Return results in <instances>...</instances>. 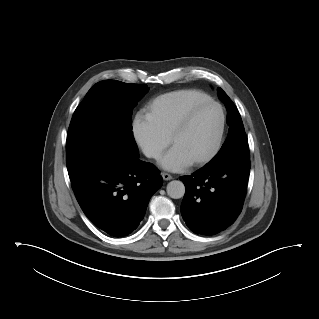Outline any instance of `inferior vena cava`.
<instances>
[{
    "label": "inferior vena cava",
    "instance_id": "1",
    "mask_svg": "<svg viewBox=\"0 0 319 319\" xmlns=\"http://www.w3.org/2000/svg\"><path fill=\"white\" fill-rule=\"evenodd\" d=\"M145 155H146L147 157H149V158H151V157L155 158V157L158 156V153L155 152V151H152V150H146V151H145Z\"/></svg>",
    "mask_w": 319,
    "mask_h": 319
}]
</instances>
